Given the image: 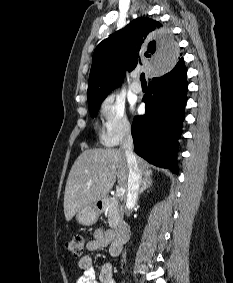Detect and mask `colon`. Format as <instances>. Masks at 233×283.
Listing matches in <instances>:
<instances>
[{"label": "colon", "mask_w": 233, "mask_h": 283, "mask_svg": "<svg viewBox=\"0 0 233 283\" xmlns=\"http://www.w3.org/2000/svg\"><path fill=\"white\" fill-rule=\"evenodd\" d=\"M85 239L81 235H76L65 242V249L74 256H80L84 251Z\"/></svg>", "instance_id": "colon-1"}]
</instances>
